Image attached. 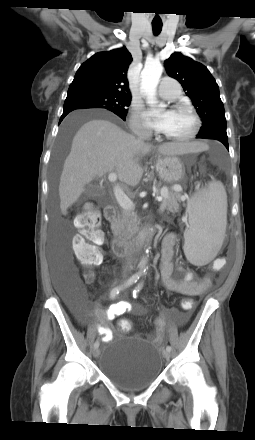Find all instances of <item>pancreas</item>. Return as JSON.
Returning a JSON list of instances; mask_svg holds the SVG:
<instances>
[{
    "instance_id": "1",
    "label": "pancreas",
    "mask_w": 255,
    "mask_h": 440,
    "mask_svg": "<svg viewBox=\"0 0 255 440\" xmlns=\"http://www.w3.org/2000/svg\"><path fill=\"white\" fill-rule=\"evenodd\" d=\"M160 193L161 195L165 194L162 196L164 198L162 207H167V210L172 213L177 212L179 209L178 200L181 195L166 187L162 188ZM138 224L137 215L133 210L121 209L118 211L117 217L111 221V229L114 235L129 239L138 231Z\"/></svg>"
}]
</instances>
